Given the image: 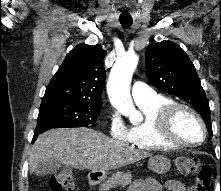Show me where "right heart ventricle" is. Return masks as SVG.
Listing matches in <instances>:
<instances>
[{
  "instance_id": "right-heart-ventricle-1",
  "label": "right heart ventricle",
  "mask_w": 221,
  "mask_h": 191,
  "mask_svg": "<svg viewBox=\"0 0 221 191\" xmlns=\"http://www.w3.org/2000/svg\"><path fill=\"white\" fill-rule=\"evenodd\" d=\"M171 102L169 98L157 95V97L150 102L137 104L144 115V119L142 122L132 124L128 128L125 141L143 150L178 147L163 144L156 132L158 111L161 107Z\"/></svg>"
}]
</instances>
